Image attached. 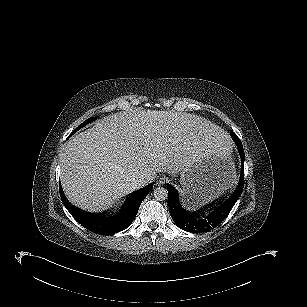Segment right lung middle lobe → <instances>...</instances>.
<instances>
[{"label":"right lung middle lobe","mask_w":307,"mask_h":307,"mask_svg":"<svg viewBox=\"0 0 307 307\" xmlns=\"http://www.w3.org/2000/svg\"><path fill=\"white\" fill-rule=\"evenodd\" d=\"M93 119H95V117H93V118H89V119H87L86 121H84L82 124H80L79 126H78V128H76L73 132H72V134L73 133H75L78 129H80V128H82V127H84L85 125H87L89 122H91ZM71 134V135H72ZM70 135V136H71Z\"/></svg>","instance_id":"dd1d6c3e"}]
</instances>
